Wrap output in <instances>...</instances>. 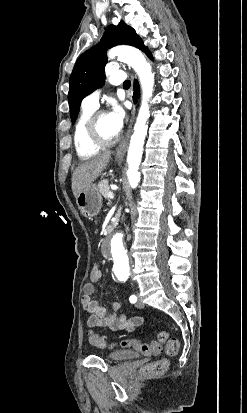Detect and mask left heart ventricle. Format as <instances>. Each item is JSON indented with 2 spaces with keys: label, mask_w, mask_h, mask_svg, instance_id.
<instances>
[{
  "label": "left heart ventricle",
  "mask_w": 247,
  "mask_h": 413,
  "mask_svg": "<svg viewBox=\"0 0 247 413\" xmlns=\"http://www.w3.org/2000/svg\"><path fill=\"white\" fill-rule=\"evenodd\" d=\"M99 131L104 139L111 140L116 137L111 129L105 124V119L102 117L100 118Z\"/></svg>",
  "instance_id": "left-heart-ventricle-1"
}]
</instances>
